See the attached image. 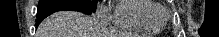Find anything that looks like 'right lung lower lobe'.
<instances>
[{
    "instance_id": "right-lung-lower-lobe-1",
    "label": "right lung lower lobe",
    "mask_w": 219,
    "mask_h": 37,
    "mask_svg": "<svg viewBox=\"0 0 219 37\" xmlns=\"http://www.w3.org/2000/svg\"><path fill=\"white\" fill-rule=\"evenodd\" d=\"M62 10L79 11L76 8L69 6V5H64V4L53 5V6L38 10L36 24L39 25V23H41V21L47 16H49L50 14L57 12V11H62Z\"/></svg>"
}]
</instances>
